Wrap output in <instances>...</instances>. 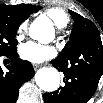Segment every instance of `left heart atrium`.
Returning <instances> with one entry per match:
<instances>
[{
    "instance_id": "39dd6f15",
    "label": "left heart atrium",
    "mask_w": 103,
    "mask_h": 103,
    "mask_svg": "<svg viewBox=\"0 0 103 103\" xmlns=\"http://www.w3.org/2000/svg\"><path fill=\"white\" fill-rule=\"evenodd\" d=\"M56 54L55 49L50 45H43L37 42L28 41L20 45L19 55L22 59L32 63L44 62Z\"/></svg>"
}]
</instances>
